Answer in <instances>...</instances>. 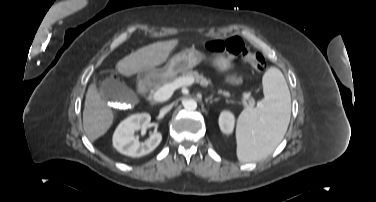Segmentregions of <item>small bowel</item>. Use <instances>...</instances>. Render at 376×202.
<instances>
[{"label":"small bowel","mask_w":376,"mask_h":202,"mask_svg":"<svg viewBox=\"0 0 376 202\" xmlns=\"http://www.w3.org/2000/svg\"><path fill=\"white\" fill-rule=\"evenodd\" d=\"M228 81L232 84H237L240 82V79L236 75H230Z\"/></svg>","instance_id":"obj_1"}]
</instances>
